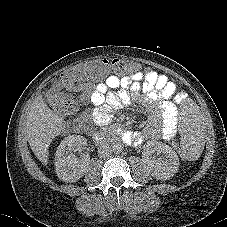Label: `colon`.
Returning <instances> with one entry per match:
<instances>
[{"instance_id":"obj_1","label":"colon","mask_w":227,"mask_h":227,"mask_svg":"<svg viewBox=\"0 0 227 227\" xmlns=\"http://www.w3.org/2000/svg\"><path fill=\"white\" fill-rule=\"evenodd\" d=\"M139 69L140 66L135 61L124 64L117 59L111 60L106 58L104 60H96L65 72L61 76L58 86L77 91L83 89L87 83L93 84L96 81L102 80L105 75L115 76L125 72L127 75L132 76ZM46 101L54 110L65 115H75L79 111L77 102L60 93L57 86L48 89ZM85 121L86 118L84 116H78L75 120L76 127L80 130L83 129ZM171 146L178 159L189 163L196 162L197 157L184 152L179 141H172Z\"/></svg>"}]
</instances>
